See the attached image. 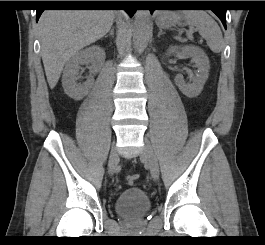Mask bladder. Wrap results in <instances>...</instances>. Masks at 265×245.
I'll list each match as a JSON object with an SVG mask.
<instances>
[{
	"label": "bladder",
	"instance_id": "1",
	"mask_svg": "<svg viewBox=\"0 0 265 245\" xmlns=\"http://www.w3.org/2000/svg\"><path fill=\"white\" fill-rule=\"evenodd\" d=\"M116 213L125 219H139L151 210V202L144 191L139 188L123 190L115 201Z\"/></svg>",
	"mask_w": 265,
	"mask_h": 245
}]
</instances>
